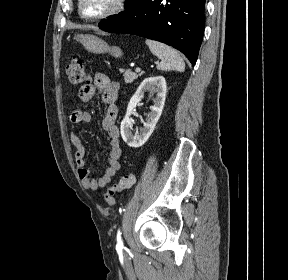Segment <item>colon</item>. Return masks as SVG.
<instances>
[{
    "label": "colon",
    "mask_w": 288,
    "mask_h": 280,
    "mask_svg": "<svg viewBox=\"0 0 288 280\" xmlns=\"http://www.w3.org/2000/svg\"><path fill=\"white\" fill-rule=\"evenodd\" d=\"M67 75L73 84H81L89 81L87 71L82 61L77 56H73L68 64ZM134 182L135 175L133 173L124 175L119 182L107 188L106 192L104 193L106 203L109 206H113L115 204L116 193L131 188Z\"/></svg>",
    "instance_id": "obj_1"
}]
</instances>
